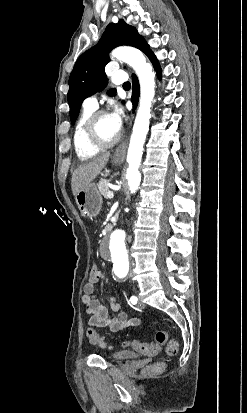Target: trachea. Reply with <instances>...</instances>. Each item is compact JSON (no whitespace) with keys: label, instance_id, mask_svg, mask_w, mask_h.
Instances as JSON below:
<instances>
[{"label":"trachea","instance_id":"obj_1","mask_svg":"<svg viewBox=\"0 0 247 413\" xmlns=\"http://www.w3.org/2000/svg\"><path fill=\"white\" fill-rule=\"evenodd\" d=\"M130 87H131L130 82H125V83H123V88H124V90H129Z\"/></svg>","mask_w":247,"mask_h":413}]
</instances>
